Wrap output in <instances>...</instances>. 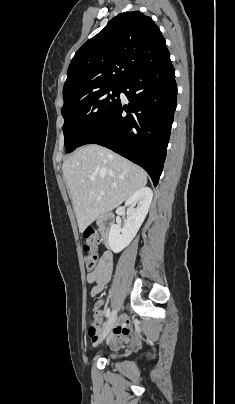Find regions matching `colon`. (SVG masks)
I'll return each instance as SVG.
<instances>
[{
  "label": "colon",
  "instance_id": "obj_1",
  "mask_svg": "<svg viewBox=\"0 0 235 404\" xmlns=\"http://www.w3.org/2000/svg\"><path fill=\"white\" fill-rule=\"evenodd\" d=\"M86 243L84 245V259L85 265L88 270H93L97 265L98 255L96 247L100 243V235L97 230L93 228L86 229L84 232ZM99 319L98 309L94 310L91 328H96Z\"/></svg>",
  "mask_w": 235,
  "mask_h": 404
}]
</instances>
